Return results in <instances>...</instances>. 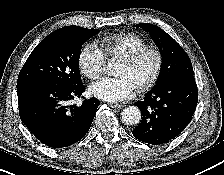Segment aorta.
Returning a JSON list of instances; mask_svg holds the SVG:
<instances>
[{"instance_id":"aorta-1","label":"aorta","mask_w":224,"mask_h":175,"mask_svg":"<svg viewBox=\"0 0 224 175\" xmlns=\"http://www.w3.org/2000/svg\"><path fill=\"white\" fill-rule=\"evenodd\" d=\"M106 72L109 75H113L115 73V68L113 64H108L106 68ZM141 120V111L136 106H128L122 111V121L126 125H136Z\"/></svg>"}]
</instances>
